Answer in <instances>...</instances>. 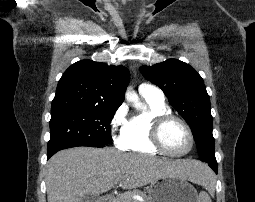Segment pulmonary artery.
I'll list each match as a JSON object with an SVG mask.
<instances>
[{
    "mask_svg": "<svg viewBox=\"0 0 255 202\" xmlns=\"http://www.w3.org/2000/svg\"><path fill=\"white\" fill-rule=\"evenodd\" d=\"M139 93L142 97L151 98L157 101H164L163 92L156 86L143 83L139 87Z\"/></svg>",
    "mask_w": 255,
    "mask_h": 202,
    "instance_id": "pulmonary-artery-1",
    "label": "pulmonary artery"
}]
</instances>
